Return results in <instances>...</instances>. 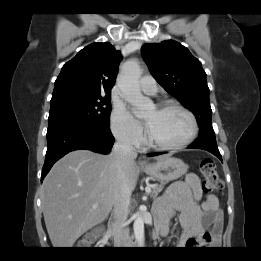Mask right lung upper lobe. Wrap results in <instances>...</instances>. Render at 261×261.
Wrapping results in <instances>:
<instances>
[{
	"label": "right lung upper lobe",
	"mask_w": 261,
	"mask_h": 261,
	"mask_svg": "<svg viewBox=\"0 0 261 261\" xmlns=\"http://www.w3.org/2000/svg\"><path fill=\"white\" fill-rule=\"evenodd\" d=\"M120 61V52L110 43H92L62 67L53 94L72 92L110 96Z\"/></svg>",
	"instance_id": "right-lung-upper-lobe-1"
}]
</instances>
